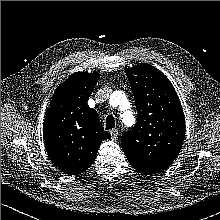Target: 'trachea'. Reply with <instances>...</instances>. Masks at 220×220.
<instances>
[{
  "label": "trachea",
  "instance_id": "3493384b",
  "mask_svg": "<svg viewBox=\"0 0 220 220\" xmlns=\"http://www.w3.org/2000/svg\"><path fill=\"white\" fill-rule=\"evenodd\" d=\"M105 123H106V130L114 128L115 127L114 117L112 115L107 116Z\"/></svg>",
  "mask_w": 220,
  "mask_h": 220
}]
</instances>
